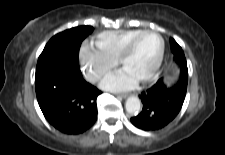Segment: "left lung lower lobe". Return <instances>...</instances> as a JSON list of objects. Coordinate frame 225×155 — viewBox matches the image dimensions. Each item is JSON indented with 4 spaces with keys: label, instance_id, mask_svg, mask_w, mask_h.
<instances>
[{
    "label": "left lung lower lobe",
    "instance_id": "obj_1",
    "mask_svg": "<svg viewBox=\"0 0 225 155\" xmlns=\"http://www.w3.org/2000/svg\"><path fill=\"white\" fill-rule=\"evenodd\" d=\"M187 83L180 80L173 86H166L162 79L141 94L143 109L131 118L134 126L145 131H155L169 124L183 105Z\"/></svg>",
    "mask_w": 225,
    "mask_h": 155
}]
</instances>
